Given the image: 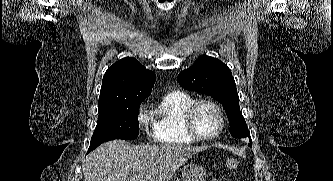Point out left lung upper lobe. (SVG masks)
Listing matches in <instances>:
<instances>
[{"instance_id":"left-lung-upper-lobe-1","label":"left lung upper lobe","mask_w":333,"mask_h":181,"mask_svg":"<svg viewBox=\"0 0 333 181\" xmlns=\"http://www.w3.org/2000/svg\"><path fill=\"white\" fill-rule=\"evenodd\" d=\"M178 82L184 89L206 94L220 102L226 110L233 137L251 138L239 108L234 78L229 67L222 61L202 56L178 75Z\"/></svg>"}]
</instances>
